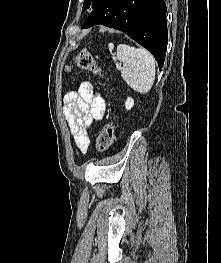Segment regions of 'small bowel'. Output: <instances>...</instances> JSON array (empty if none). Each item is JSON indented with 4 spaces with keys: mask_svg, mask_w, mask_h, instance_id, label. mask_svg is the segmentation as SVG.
<instances>
[{
    "mask_svg": "<svg viewBox=\"0 0 221 263\" xmlns=\"http://www.w3.org/2000/svg\"><path fill=\"white\" fill-rule=\"evenodd\" d=\"M64 115L79 153L89 149V131L93 121L103 119L105 100L94 91L90 82H83L76 91L68 92L63 99Z\"/></svg>",
    "mask_w": 221,
    "mask_h": 263,
    "instance_id": "obj_1",
    "label": "small bowel"
}]
</instances>
